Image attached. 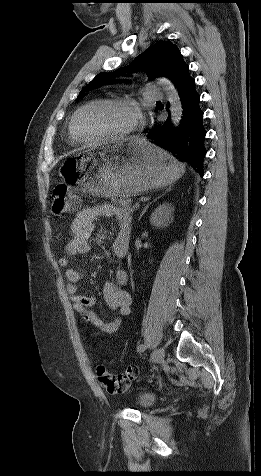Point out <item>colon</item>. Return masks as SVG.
Segmentation results:
<instances>
[{
    "label": "colon",
    "mask_w": 261,
    "mask_h": 476,
    "mask_svg": "<svg viewBox=\"0 0 261 476\" xmlns=\"http://www.w3.org/2000/svg\"><path fill=\"white\" fill-rule=\"evenodd\" d=\"M52 213L55 216H63L78 206L77 198L70 192L65 183H60L53 189ZM138 373L135 365L129 366L122 374H114L105 366L99 365L96 369V376L100 384L112 394L126 392Z\"/></svg>",
    "instance_id": "obj_1"
}]
</instances>
